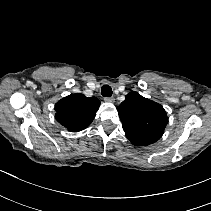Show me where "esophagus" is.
Instances as JSON below:
<instances>
[{
  "instance_id": "1",
  "label": "esophagus",
  "mask_w": 211,
  "mask_h": 211,
  "mask_svg": "<svg viewBox=\"0 0 211 211\" xmlns=\"http://www.w3.org/2000/svg\"><path fill=\"white\" fill-rule=\"evenodd\" d=\"M104 100L108 103H114L115 99L113 97H105Z\"/></svg>"
}]
</instances>
